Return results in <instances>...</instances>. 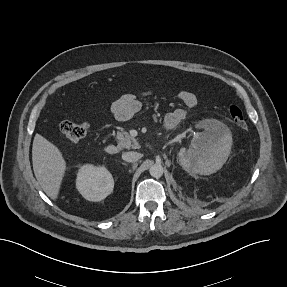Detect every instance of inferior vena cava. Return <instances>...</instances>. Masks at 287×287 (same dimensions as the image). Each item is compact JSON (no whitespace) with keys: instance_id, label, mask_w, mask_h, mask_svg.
<instances>
[{"instance_id":"obj_1","label":"inferior vena cava","mask_w":287,"mask_h":287,"mask_svg":"<svg viewBox=\"0 0 287 287\" xmlns=\"http://www.w3.org/2000/svg\"><path fill=\"white\" fill-rule=\"evenodd\" d=\"M122 159L126 162H136L140 159V154L134 151L122 154Z\"/></svg>"}]
</instances>
